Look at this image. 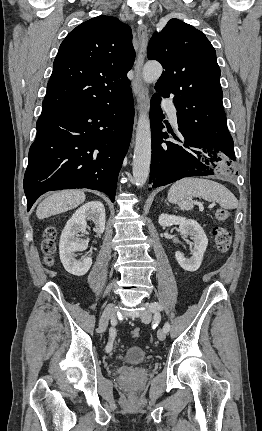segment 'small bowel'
Returning a JSON list of instances; mask_svg holds the SVG:
<instances>
[{
  "label": "small bowel",
  "instance_id": "small-bowel-1",
  "mask_svg": "<svg viewBox=\"0 0 262 431\" xmlns=\"http://www.w3.org/2000/svg\"><path fill=\"white\" fill-rule=\"evenodd\" d=\"M113 332H114V334H115V336H116V333H115V331L113 330Z\"/></svg>",
  "mask_w": 262,
  "mask_h": 431
}]
</instances>
